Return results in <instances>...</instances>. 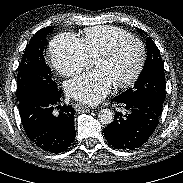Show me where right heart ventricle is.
<instances>
[{
	"instance_id": "right-heart-ventricle-1",
	"label": "right heart ventricle",
	"mask_w": 183,
	"mask_h": 183,
	"mask_svg": "<svg viewBox=\"0 0 183 183\" xmlns=\"http://www.w3.org/2000/svg\"><path fill=\"white\" fill-rule=\"evenodd\" d=\"M132 36L129 32L114 26L87 28L79 39L88 58H94L115 41Z\"/></svg>"
}]
</instances>
